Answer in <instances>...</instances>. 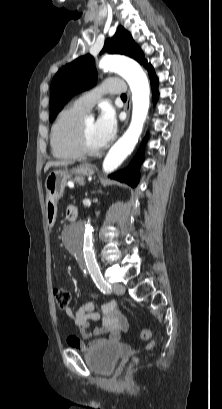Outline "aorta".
<instances>
[{"instance_id":"aorta-1","label":"aorta","mask_w":222,"mask_h":409,"mask_svg":"<svg viewBox=\"0 0 222 409\" xmlns=\"http://www.w3.org/2000/svg\"><path fill=\"white\" fill-rule=\"evenodd\" d=\"M99 67L121 75L128 82L132 92L131 123L123 136L111 147L103 161V171L109 174L122 164L138 142L148 114L150 87L147 76L140 65L129 58L105 56L101 59ZM66 236L68 250L75 257L84 260L89 270H97L90 223L76 222L67 229Z\"/></svg>"}]
</instances>
